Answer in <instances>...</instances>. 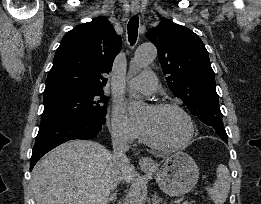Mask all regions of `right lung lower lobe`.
<instances>
[{
  "label": "right lung lower lobe",
  "instance_id": "1",
  "mask_svg": "<svg viewBox=\"0 0 261 204\" xmlns=\"http://www.w3.org/2000/svg\"><path fill=\"white\" fill-rule=\"evenodd\" d=\"M105 118L92 115H64L41 120L33 147L30 171L37 161L58 145L73 139H91L97 136Z\"/></svg>",
  "mask_w": 261,
  "mask_h": 204
}]
</instances>
